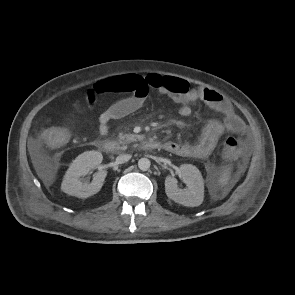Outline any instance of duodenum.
Segmentation results:
<instances>
[{
    "label": "duodenum",
    "instance_id": "410a0bca",
    "mask_svg": "<svg viewBox=\"0 0 295 295\" xmlns=\"http://www.w3.org/2000/svg\"><path fill=\"white\" fill-rule=\"evenodd\" d=\"M98 149L104 153H112L116 150L117 145L114 141L98 140L96 142ZM142 147L146 150H155L162 147L158 141L153 139H146L142 142Z\"/></svg>",
    "mask_w": 295,
    "mask_h": 295
}]
</instances>
